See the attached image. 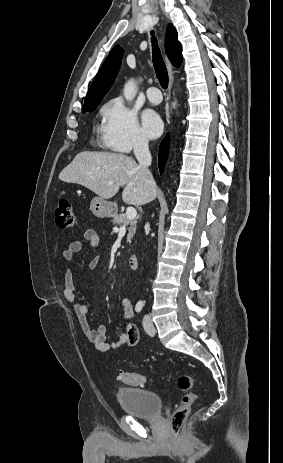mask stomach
Wrapping results in <instances>:
<instances>
[{
    "label": "stomach",
    "instance_id": "obj_1",
    "mask_svg": "<svg viewBox=\"0 0 283 463\" xmlns=\"http://www.w3.org/2000/svg\"><path fill=\"white\" fill-rule=\"evenodd\" d=\"M90 210L98 218H109L115 213V206L101 197H94L90 203Z\"/></svg>",
    "mask_w": 283,
    "mask_h": 463
}]
</instances>
